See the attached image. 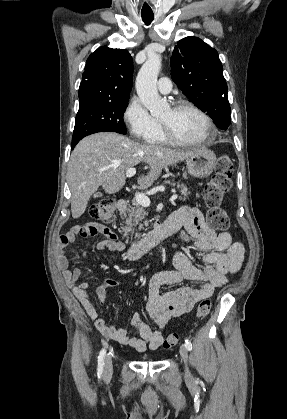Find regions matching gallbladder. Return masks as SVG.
I'll list each match as a JSON object with an SVG mask.
<instances>
[{
    "mask_svg": "<svg viewBox=\"0 0 287 419\" xmlns=\"http://www.w3.org/2000/svg\"><path fill=\"white\" fill-rule=\"evenodd\" d=\"M100 196H102V193H101V192H95V193L93 194V197H94V198H98V197H100Z\"/></svg>",
    "mask_w": 287,
    "mask_h": 419,
    "instance_id": "1",
    "label": "gallbladder"
}]
</instances>
